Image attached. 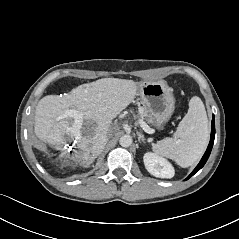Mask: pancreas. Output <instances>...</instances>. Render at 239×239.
<instances>
[{"label":"pancreas","mask_w":239,"mask_h":239,"mask_svg":"<svg viewBox=\"0 0 239 239\" xmlns=\"http://www.w3.org/2000/svg\"><path fill=\"white\" fill-rule=\"evenodd\" d=\"M148 111L146 110V108H144V107H141L140 108V110H139V113H140V117L141 118H144V117H149V115H148V113H147ZM149 120V122H152V119L150 118V119H148Z\"/></svg>","instance_id":"cf45deb5"}]
</instances>
